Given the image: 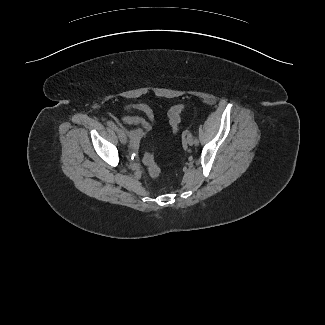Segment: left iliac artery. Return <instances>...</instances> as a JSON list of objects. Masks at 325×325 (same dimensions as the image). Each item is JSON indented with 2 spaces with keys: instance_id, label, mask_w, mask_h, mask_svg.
<instances>
[{
  "instance_id": "1",
  "label": "left iliac artery",
  "mask_w": 325,
  "mask_h": 325,
  "mask_svg": "<svg viewBox=\"0 0 325 325\" xmlns=\"http://www.w3.org/2000/svg\"><path fill=\"white\" fill-rule=\"evenodd\" d=\"M194 141H195V144H199V141L195 136H194Z\"/></svg>"
}]
</instances>
